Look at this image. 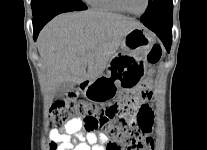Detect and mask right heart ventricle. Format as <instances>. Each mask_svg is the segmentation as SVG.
Masks as SVG:
<instances>
[{"instance_id": "obj_1", "label": "right heart ventricle", "mask_w": 207, "mask_h": 150, "mask_svg": "<svg viewBox=\"0 0 207 150\" xmlns=\"http://www.w3.org/2000/svg\"><path fill=\"white\" fill-rule=\"evenodd\" d=\"M87 2L95 9L112 12L117 14H125L118 0H87Z\"/></svg>"}]
</instances>
